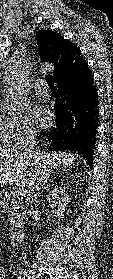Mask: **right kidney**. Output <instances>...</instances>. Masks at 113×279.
Returning <instances> with one entry per match:
<instances>
[{
    "mask_svg": "<svg viewBox=\"0 0 113 279\" xmlns=\"http://www.w3.org/2000/svg\"><path fill=\"white\" fill-rule=\"evenodd\" d=\"M47 201L53 209L54 216L58 220L62 219L69 202L68 192L65 189L55 188L47 195Z\"/></svg>",
    "mask_w": 113,
    "mask_h": 279,
    "instance_id": "obj_1",
    "label": "right kidney"
}]
</instances>
